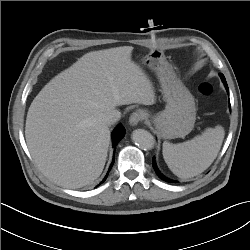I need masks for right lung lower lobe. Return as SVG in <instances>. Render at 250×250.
I'll return each instance as SVG.
<instances>
[{
	"instance_id": "1",
	"label": "right lung lower lobe",
	"mask_w": 250,
	"mask_h": 250,
	"mask_svg": "<svg viewBox=\"0 0 250 250\" xmlns=\"http://www.w3.org/2000/svg\"><path fill=\"white\" fill-rule=\"evenodd\" d=\"M124 135H125V129H124V127H123L121 124H119V125L113 130V132H112V144H113V147H115V146L117 145V143L119 142V140H120ZM114 156H115V154H114ZM113 163H114V159H113V162H112V164H111V166H110V168H109V170H108V172H107V175L105 176V178L102 180L101 183H103V182L106 180V178H107V176H108V174H109V171H110V169H111L112 166H113ZM101 183H100V184H101Z\"/></svg>"
}]
</instances>
